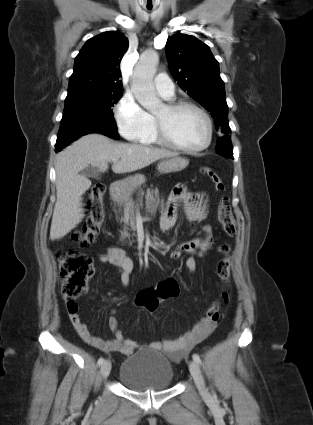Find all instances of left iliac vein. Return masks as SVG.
Segmentation results:
<instances>
[{
  "label": "left iliac vein",
  "instance_id": "4c4485c4",
  "mask_svg": "<svg viewBox=\"0 0 313 425\" xmlns=\"http://www.w3.org/2000/svg\"><path fill=\"white\" fill-rule=\"evenodd\" d=\"M189 369H190V373L196 383V386L200 392V394L205 397V398H209L210 394L208 392V389L206 388L200 367L198 365L197 362L195 361H190L189 362Z\"/></svg>",
  "mask_w": 313,
  "mask_h": 425
}]
</instances>
